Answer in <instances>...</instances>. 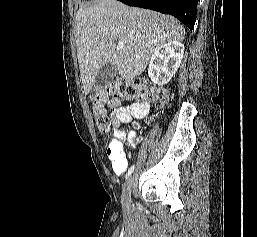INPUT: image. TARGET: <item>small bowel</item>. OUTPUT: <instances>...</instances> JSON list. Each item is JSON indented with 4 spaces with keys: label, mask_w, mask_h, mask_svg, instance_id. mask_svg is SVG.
Wrapping results in <instances>:
<instances>
[{
    "label": "small bowel",
    "mask_w": 257,
    "mask_h": 237,
    "mask_svg": "<svg viewBox=\"0 0 257 237\" xmlns=\"http://www.w3.org/2000/svg\"><path fill=\"white\" fill-rule=\"evenodd\" d=\"M149 112V104L145 101L136 102L129 106L116 105L112 114V125L114 128L113 137L106 147V154L111 161L113 172L121 176L127 169L129 161L132 159L133 151L137 149L140 139L136 137L134 131L127 134L129 147L125 148L122 142L125 137L121 127L129 124L133 119H142ZM118 136H122L119 139Z\"/></svg>",
    "instance_id": "c3829d8e"
}]
</instances>
